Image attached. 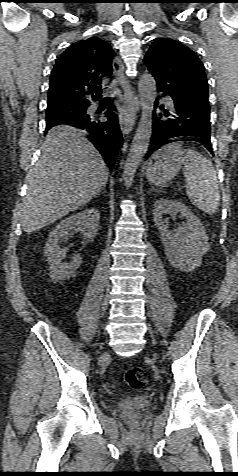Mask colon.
<instances>
[{"instance_id":"5ec220e1","label":"colon","mask_w":238,"mask_h":476,"mask_svg":"<svg viewBox=\"0 0 238 476\" xmlns=\"http://www.w3.org/2000/svg\"><path fill=\"white\" fill-rule=\"evenodd\" d=\"M126 385L132 389H140L147 383V374L140 367H131L124 374Z\"/></svg>"}]
</instances>
